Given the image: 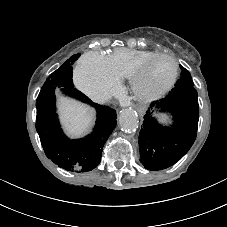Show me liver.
<instances>
[{
	"instance_id": "6515ba94",
	"label": "liver",
	"mask_w": 227,
	"mask_h": 227,
	"mask_svg": "<svg viewBox=\"0 0 227 227\" xmlns=\"http://www.w3.org/2000/svg\"><path fill=\"white\" fill-rule=\"evenodd\" d=\"M58 108L63 128L69 136L80 137L88 131L94 117L91 108L73 100L62 98L59 94Z\"/></svg>"
}]
</instances>
